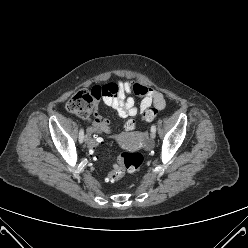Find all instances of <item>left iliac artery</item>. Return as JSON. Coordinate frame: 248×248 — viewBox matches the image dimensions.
<instances>
[{
  "instance_id": "1",
  "label": "left iliac artery",
  "mask_w": 248,
  "mask_h": 248,
  "mask_svg": "<svg viewBox=\"0 0 248 248\" xmlns=\"http://www.w3.org/2000/svg\"><path fill=\"white\" fill-rule=\"evenodd\" d=\"M151 132H156V126L154 124L151 126Z\"/></svg>"
}]
</instances>
